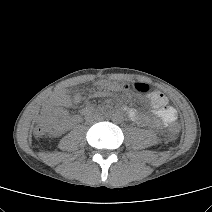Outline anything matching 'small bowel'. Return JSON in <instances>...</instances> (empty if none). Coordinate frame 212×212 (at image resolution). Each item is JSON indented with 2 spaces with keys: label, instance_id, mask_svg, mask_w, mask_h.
I'll list each match as a JSON object with an SVG mask.
<instances>
[{
  "label": "small bowel",
  "instance_id": "obj_1",
  "mask_svg": "<svg viewBox=\"0 0 212 212\" xmlns=\"http://www.w3.org/2000/svg\"><path fill=\"white\" fill-rule=\"evenodd\" d=\"M109 82L113 85L111 93L104 94L98 90L94 92L91 97H105L114 92L131 89V86L127 83L117 81ZM97 83L98 81L96 82V85ZM147 96L150 100L156 120H150L139 111L125 107L124 110L131 120L141 125L151 124L159 128L166 127L177 120V111L168 104V99L163 93L157 90H152L147 92ZM80 101L81 95L79 93H75L73 96H70L64 90L56 91L43 106V120H49L52 123L56 134L62 133L66 129L77 125L81 121V117L79 115H68L66 110L67 108L78 104Z\"/></svg>",
  "mask_w": 212,
  "mask_h": 212
}]
</instances>
